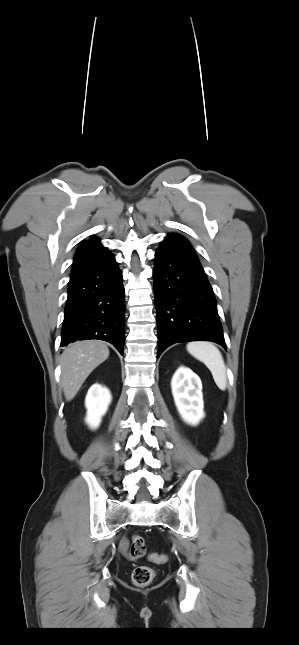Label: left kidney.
I'll use <instances>...</instances> for the list:
<instances>
[{"mask_svg": "<svg viewBox=\"0 0 299 645\" xmlns=\"http://www.w3.org/2000/svg\"><path fill=\"white\" fill-rule=\"evenodd\" d=\"M175 405L184 422L197 425L204 418L202 383L189 368L177 369L171 381Z\"/></svg>", "mask_w": 299, "mask_h": 645, "instance_id": "left-kidney-1", "label": "left kidney"}]
</instances>
